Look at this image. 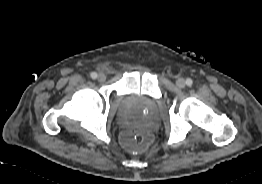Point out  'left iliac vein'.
<instances>
[{"label": "left iliac vein", "instance_id": "obj_1", "mask_svg": "<svg viewBox=\"0 0 262 184\" xmlns=\"http://www.w3.org/2000/svg\"><path fill=\"white\" fill-rule=\"evenodd\" d=\"M176 85H177L178 87H180V88H183V87H185L186 82H185V80H184L183 78H179V79H177V81H176Z\"/></svg>", "mask_w": 262, "mask_h": 184}]
</instances>
